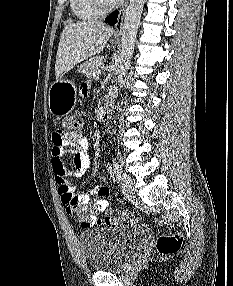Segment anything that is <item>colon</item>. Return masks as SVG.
<instances>
[{
    "mask_svg": "<svg viewBox=\"0 0 233 286\" xmlns=\"http://www.w3.org/2000/svg\"><path fill=\"white\" fill-rule=\"evenodd\" d=\"M84 126V114L76 112L66 116L58 130L61 136H82ZM67 209L80 219L85 225L95 224L97 226H106L110 228H118L124 225L133 224L137 221L135 213L126 211L117 216L107 215L104 218H94L96 214L92 206L82 207L77 197L67 199ZM181 243V237L178 234L166 235L159 239L158 250L161 253L168 254L174 252Z\"/></svg>",
    "mask_w": 233,
    "mask_h": 286,
    "instance_id": "obj_1",
    "label": "colon"
}]
</instances>
